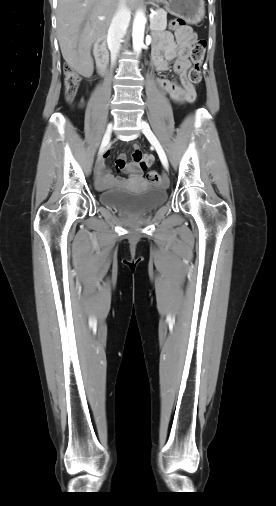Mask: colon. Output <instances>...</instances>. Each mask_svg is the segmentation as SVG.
I'll return each mask as SVG.
<instances>
[{
	"instance_id": "colon-1",
	"label": "colon",
	"mask_w": 276,
	"mask_h": 506,
	"mask_svg": "<svg viewBox=\"0 0 276 506\" xmlns=\"http://www.w3.org/2000/svg\"><path fill=\"white\" fill-rule=\"evenodd\" d=\"M169 26L175 32H178L182 29L187 28L186 21L182 18H173L171 19ZM207 42L204 38L197 39L190 51V59L192 61V68L188 73V77L191 83L199 84L202 80V64L204 61V56L206 52ZM64 94L67 101H72L79 89L80 85V75L72 70L69 67H65L64 69ZM136 159H141V156H137ZM146 180L155 185L166 186L167 181L163 178V176L157 171H150L146 174Z\"/></svg>"
}]
</instances>
